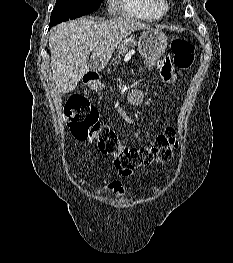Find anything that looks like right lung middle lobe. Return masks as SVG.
Listing matches in <instances>:
<instances>
[{"mask_svg": "<svg viewBox=\"0 0 233 263\" xmlns=\"http://www.w3.org/2000/svg\"><path fill=\"white\" fill-rule=\"evenodd\" d=\"M103 0H56L50 23L58 24L96 11Z\"/></svg>", "mask_w": 233, "mask_h": 263, "instance_id": "dd1d6c3e", "label": "right lung middle lobe"}]
</instances>
